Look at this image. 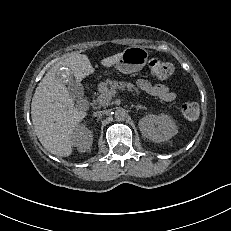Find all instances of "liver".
I'll return each instance as SVG.
<instances>
[{
    "label": "liver",
    "mask_w": 231,
    "mask_h": 231,
    "mask_svg": "<svg viewBox=\"0 0 231 231\" xmlns=\"http://www.w3.org/2000/svg\"><path fill=\"white\" fill-rule=\"evenodd\" d=\"M122 52L101 60L104 67L115 65ZM63 67L69 69L77 81L94 73L85 54H73L53 65L38 84L31 104L35 133L43 147L51 154L67 157L73 151V136L86 112L74 106L66 86L56 78Z\"/></svg>",
    "instance_id": "obj_1"
}]
</instances>
